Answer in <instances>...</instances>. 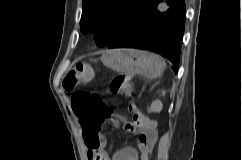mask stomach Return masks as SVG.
<instances>
[{"label":"stomach","mask_w":242,"mask_h":160,"mask_svg":"<svg viewBox=\"0 0 242 160\" xmlns=\"http://www.w3.org/2000/svg\"><path fill=\"white\" fill-rule=\"evenodd\" d=\"M101 60L116 72L139 73L147 78H155L161 73V65L156 55L142 50L120 48L107 51Z\"/></svg>","instance_id":"1"}]
</instances>
